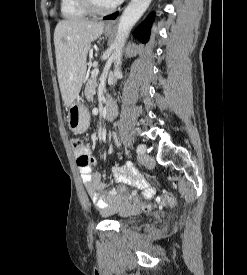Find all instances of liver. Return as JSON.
Instances as JSON below:
<instances>
[{
  "label": "liver",
  "instance_id": "liver-1",
  "mask_svg": "<svg viewBox=\"0 0 247 275\" xmlns=\"http://www.w3.org/2000/svg\"><path fill=\"white\" fill-rule=\"evenodd\" d=\"M104 25V22L84 19H66L56 25L54 44L57 76L66 108L79 95L86 75V60L91 42L102 35Z\"/></svg>",
  "mask_w": 247,
  "mask_h": 275
}]
</instances>
